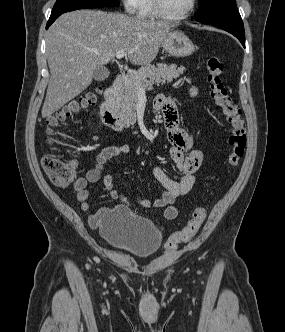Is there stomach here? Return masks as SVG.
<instances>
[{
  "label": "stomach",
  "instance_id": "obj_1",
  "mask_svg": "<svg viewBox=\"0 0 285 332\" xmlns=\"http://www.w3.org/2000/svg\"><path fill=\"white\" fill-rule=\"evenodd\" d=\"M162 44L165 51L175 57H187L195 51L193 42L180 31H170Z\"/></svg>",
  "mask_w": 285,
  "mask_h": 332
}]
</instances>
